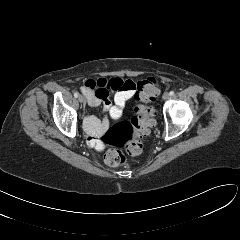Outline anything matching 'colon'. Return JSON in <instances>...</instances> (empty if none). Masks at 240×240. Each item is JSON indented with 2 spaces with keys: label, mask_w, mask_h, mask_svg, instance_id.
<instances>
[{
  "label": "colon",
  "mask_w": 240,
  "mask_h": 240,
  "mask_svg": "<svg viewBox=\"0 0 240 240\" xmlns=\"http://www.w3.org/2000/svg\"><path fill=\"white\" fill-rule=\"evenodd\" d=\"M160 84L148 77L135 83L134 98L138 102L134 115L129 121H123L112 126L101 138L100 144L104 150V159L110 166H120L126 161L123 149L132 156L142 151L141 139L154 126L155 110L149 104L160 93Z\"/></svg>",
  "instance_id": "1"
}]
</instances>
